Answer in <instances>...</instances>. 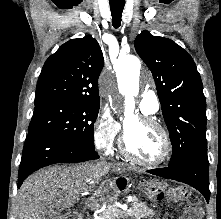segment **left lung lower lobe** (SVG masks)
I'll return each instance as SVG.
<instances>
[{
    "label": "left lung lower lobe",
    "mask_w": 221,
    "mask_h": 219,
    "mask_svg": "<svg viewBox=\"0 0 221 219\" xmlns=\"http://www.w3.org/2000/svg\"><path fill=\"white\" fill-rule=\"evenodd\" d=\"M149 173L166 179L186 183L199 190L209 202V161L207 152H195L185 157L178 165L149 170Z\"/></svg>",
    "instance_id": "obj_1"
}]
</instances>
